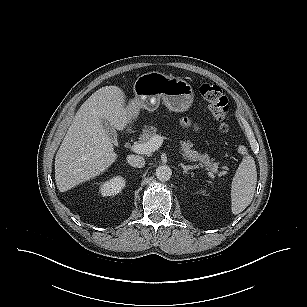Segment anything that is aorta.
<instances>
[{
    "label": "aorta",
    "mask_w": 307,
    "mask_h": 307,
    "mask_svg": "<svg viewBox=\"0 0 307 307\" xmlns=\"http://www.w3.org/2000/svg\"><path fill=\"white\" fill-rule=\"evenodd\" d=\"M172 170L168 165L158 166L156 169V177L159 181L165 182L171 178Z\"/></svg>",
    "instance_id": "1"
}]
</instances>
